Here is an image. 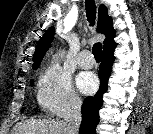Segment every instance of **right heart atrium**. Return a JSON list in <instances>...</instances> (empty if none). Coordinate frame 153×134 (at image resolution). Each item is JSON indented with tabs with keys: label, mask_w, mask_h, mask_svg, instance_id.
Masks as SVG:
<instances>
[{
	"label": "right heart atrium",
	"mask_w": 153,
	"mask_h": 134,
	"mask_svg": "<svg viewBox=\"0 0 153 134\" xmlns=\"http://www.w3.org/2000/svg\"><path fill=\"white\" fill-rule=\"evenodd\" d=\"M37 101L46 112L65 116L75 112L81 98L73 87L70 76L58 65H48L38 81Z\"/></svg>",
	"instance_id": "1"
}]
</instances>
